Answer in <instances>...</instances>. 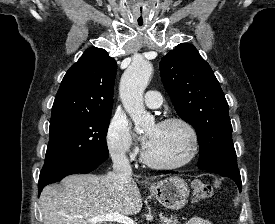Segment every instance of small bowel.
<instances>
[{
	"label": "small bowel",
	"instance_id": "small-bowel-1",
	"mask_svg": "<svg viewBox=\"0 0 275 224\" xmlns=\"http://www.w3.org/2000/svg\"><path fill=\"white\" fill-rule=\"evenodd\" d=\"M184 224H211L210 221L201 217H192L188 219Z\"/></svg>",
	"mask_w": 275,
	"mask_h": 224
}]
</instances>
